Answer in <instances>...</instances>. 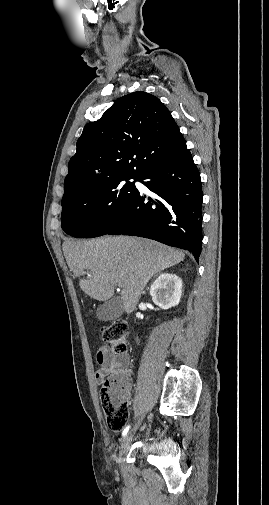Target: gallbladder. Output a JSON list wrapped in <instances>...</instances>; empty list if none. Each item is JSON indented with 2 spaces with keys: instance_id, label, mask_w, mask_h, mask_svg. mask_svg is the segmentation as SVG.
Masks as SVG:
<instances>
[{
  "instance_id": "bac80fb5",
  "label": "gallbladder",
  "mask_w": 269,
  "mask_h": 505,
  "mask_svg": "<svg viewBox=\"0 0 269 505\" xmlns=\"http://www.w3.org/2000/svg\"><path fill=\"white\" fill-rule=\"evenodd\" d=\"M124 312L123 302L120 297H113L109 301L99 305L96 316L102 321H111L119 318Z\"/></svg>"
}]
</instances>
